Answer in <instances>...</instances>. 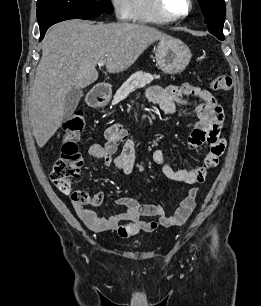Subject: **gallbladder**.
Listing matches in <instances>:
<instances>
[{"label": "gallbladder", "instance_id": "bac80fb5", "mask_svg": "<svg viewBox=\"0 0 261 306\" xmlns=\"http://www.w3.org/2000/svg\"><path fill=\"white\" fill-rule=\"evenodd\" d=\"M82 96L83 91L81 89L73 88L68 91L64 98L65 118H69L71 116V114L77 108V105Z\"/></svg>", "mask_w": 261, "mask_h": 306}]
</instances>
